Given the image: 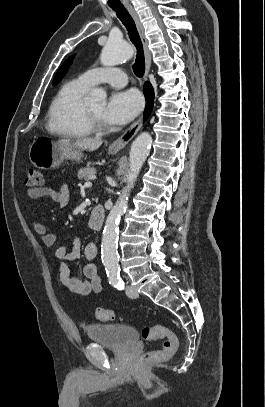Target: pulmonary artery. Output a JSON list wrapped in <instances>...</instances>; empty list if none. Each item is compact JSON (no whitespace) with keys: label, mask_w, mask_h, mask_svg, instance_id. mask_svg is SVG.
I'll return each instance as SVG.
<instances>
[{"label":"pulmonary artery","mask_w":265,"mask_h":407,"mask_svg":"<svg viewBox=\"0 0 265 407\" xmlns=\"http://www.w3.org/2000/svg\"><path fill=\"white\" fill-rule=\"evenodd\" d=\"M79 79L89 87L100 83H107L114 87H123L127 84L126 74L121 69L111 67L87 70L79 76Z\"/></svg>","instance_id":"obj_1"}]
</instances>
